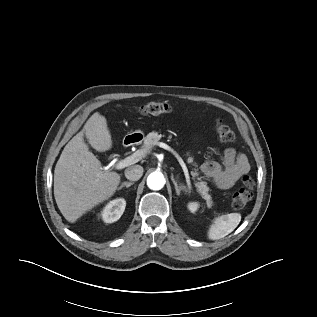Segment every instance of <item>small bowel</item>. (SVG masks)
Here are the masks:
<instances>
[{
    "mask_svg": "<svg viewBox=\"0 0 317 317\" xmlns=\"http://www.w3.org/2000/svg\"><path fill=\"white\" fill-rule=\"evenodd\" d=\"M249 170L247 157L234 148H227L224 151L222 163L211 160L205 161L200 166L202 175L220 189L231 188Z\"/></svg>",
    "mask_w": 317,
    "mask_h": 317,
    "instance_id": "small-bowel-1",
    "label": "small bowel"
}]
</instances>
